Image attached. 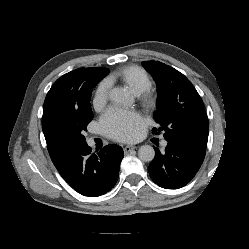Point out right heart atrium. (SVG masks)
<instances>
[{
  "label": "right heart atrium",
  "instance_id": "right-heart-atrium-1",
  "mask_svg": "<svg viewBox=\"0 0 249 249\" xmlns=\"http://www.w3.org/2000/svg\"><path fill=\"white\" fill-rule=\"evenodd\" d=\"M112 88V83L109 79L102 80L96 90L94 95V105L96 108H101L106 104L109 98V94Z\"/></svg>",
  "mask_w": 249,
  "mask_h": 249
}]
</instances>
